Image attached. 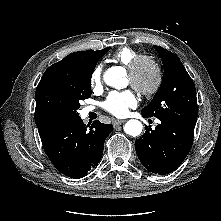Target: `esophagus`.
Returning a JSON list of instances; mask_svg holds the SVG:
<instances>
[{
  "mask_svg": "<svg viewBox=\"0 0 221 221\" xmlns=\"http://www.w3.org/2000/svg\"><path fill=\"white\" fill-rule=\"evenodd\" d=\"M124 122H125V120H114L113 124H114V126H116V125H121Z\"/></svg>",
  "mask_w": 221,
  "mask_h": 221,
  "instance_id": "esophagus-1",
  "label": "esophagus"
}]
</instances>
